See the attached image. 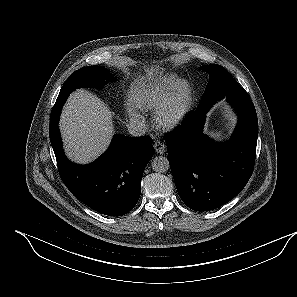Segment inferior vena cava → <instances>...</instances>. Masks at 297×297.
I'll return each mask as SVG.
<instances>
[{"label":"inferior vena cava","instance_id":"602c4592","mask_svg":"<svg viewBox=\"0 0 297 297\" xmlns=\"http://www.w3.org/2000/svg\"><path fill=\"white\" fill-rule=\"evenodd\" d=\"M128 132L134 137L143 136L146 132V125L138 120H132L127 125Z\"/></svg>","mask_w":297,"mask_h":297}]
</instances>
